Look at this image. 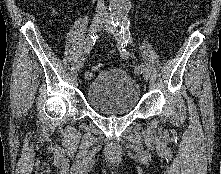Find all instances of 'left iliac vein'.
Returning a JSON list of instances; mask_svg holds the SVG:
<instances>
[{"label":"left iliac vein","instance_id":"4c4485c4","mask_svg":"<svg viewBox=\"0 0 221 174\" xmlns=\"http://www.w3.org/2000/svg\"><path fill=\"white\" fill-rule=\"evenodd\" d=\"M103 27L107 32L113 34L119 41H122V35L118 32L117 29H115L110 20H105ZM140 73L143 75L146 81L150 79L149 71L144 64H142L140 67Z\"/></svg>","mask_w":221,"mask_h":174}]
</instances>
